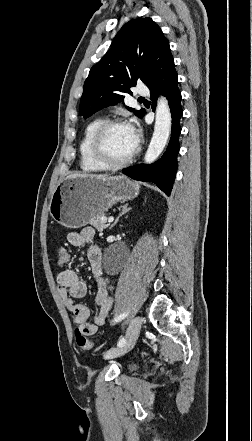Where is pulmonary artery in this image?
<instances>
[{"mask_svg": "<svg viewBox=\"0 0 252 441\" xmlns=\"http://www.w3.org/2000/svg\"><path fill=\"white\" fill-rule=\"evenodd\" d=\"M136 93H137L139 96H146V95L149 94V89H148L147 87L140 86V87H138Z\"/></svg>", "mask_w": 252, "mask_h": 441, "instance_id": "e3ab8cb5", "label": "pulmonary artery"}]
</instances>
